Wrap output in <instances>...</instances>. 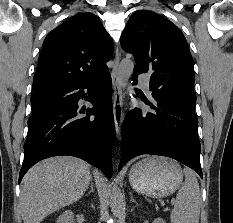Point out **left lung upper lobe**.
Wrapping results in <instances>:
<instances>
[{
    "label": "left lung upper lobe",
    "instance_id": "1",
    "mask_svg": "<svg viewBox=\"0 0 233 223\" xmlns=\"http://www.w3.org/2000/svg\"><path fill=\"white\" fill-rule=\"evenodd\" d=\"M121 46L134 55L135 73L151 74L154 99L195 103L194 61L175 24L154 12L136 11L122 33Z\"/></svg>",
    "mask_w": 233,
    "mask_h": 223
}]
</instances>
